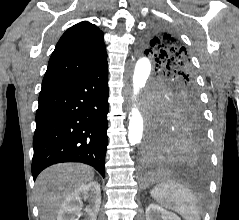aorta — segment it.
<instances>
[{
  "mask_svg": "<svg viewBox=\"0 0 239 220\" xmlns=\"http://www.w3.org/2000/svg\"><path fill=\"white\" fill-rule=\"evenodd\" d=\"M132 71L134 103L129 118L128 141L131 145H139L143 137L144 119L135 102L140 90L147 86L151 81L150 61L145 57H140L135 61V65H132Z\"/></svg>",
  "mask_w": 239,
  "mask_h": 220,
  "instance_id": "762f6f07",
  "label": "aorta"
}]
</instances>
